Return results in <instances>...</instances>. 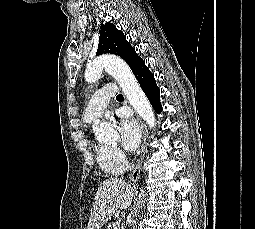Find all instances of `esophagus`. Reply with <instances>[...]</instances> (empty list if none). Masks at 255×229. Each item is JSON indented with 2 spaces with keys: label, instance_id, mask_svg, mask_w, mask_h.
<instances>
[{
  "label": "esophagus",
  "instance_id": "34e87169",
  "mask_svg": "<svg viewBox=\"0 0 255 229\" xmlns=\"http://www.w3.org/2000/svg\"><path fill=\"white\" fill-rule=\"evenodd\" d=\"M138 123H139L140 129L142 131V144H141L140 156L137 160V164L129 176V179L132 182H136L139 179L141 165L144 160L145 153H146V144H147V138H148L145 124L143 123L142 119L139 117H138Z\"/></svg>",
  "mask_w": 255,
  "mask_h": 229
}]
</instances>
